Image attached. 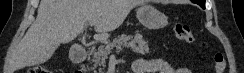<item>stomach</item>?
<instances>
[{
  "instance_id": "obj_1",
  "label": "stomach",
  "mask_w": 244,
  "mask_h": 73,
  "mask_svg": "<svg viewBox=\"0 0 244 73\" xmlns=\"http://www.w3.org/2000/svg\"><path fill=\"white\" fill-rule=\"evenodd\" d=\"M136 16L143 26L151 30L161 29L168 24L167 16L148 4H142Z\"/></svg>"
}]
</instances>
